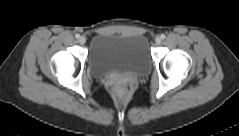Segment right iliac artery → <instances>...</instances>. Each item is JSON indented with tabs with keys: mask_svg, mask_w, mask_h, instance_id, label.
<instances>
[{
	"mask_svg": "<svg viewBox=\"0 0 239 136\" xmlns=\"http://www.w3.org/2000/svg\"><path fill=\"white\" fill-rule=\"evenodd\" d=\"M75 37H76V38H79V37H80V35L77 33V34H75Z\"/></svg>",
	"mask_w": 239,
	"mask_h": 136,
	"instance_id": "1",
	"label": "right iliac artery"
}]
</instances>
